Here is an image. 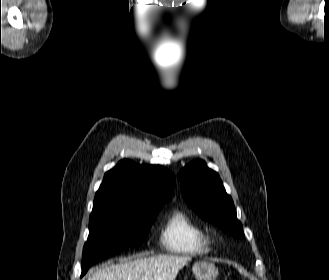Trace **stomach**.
I'll return each instance as SVG.
<instances>
[{"label":"stomach","instance_id":"1","mask_svg":"<svg viewBox=\"0 0 329 280\" xmlns=\"http://www.w3.org/2000/svg\"><path fill=\"white\" fill-rule=\"evenodd\" d=\"M192 270L197 280H215L218 275L217 267L206 261L195 263Z\"/></svg>","mask_w":329,"mask_h":280}]
</instances>
